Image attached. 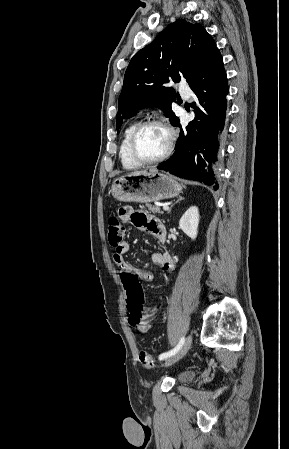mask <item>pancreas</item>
Listing matches in <instances>:
<instances>
[{
    "mask_svg": "<svg viewBox=\"0 0 289 449\" xmlns=\"http://www.w3.org/2000/svg\"><path fill=\"white\" fill-rule=\"evenodd\" d=\"M146 206H147L148 210L153 213L163 214V211L158 206H154L151 204H147Z\"/></svg>",
    "mask_w": 289,
    "mask_h": 449,
    "instance_id": "1",
    "label": "pancreas"
}]
</instances>
